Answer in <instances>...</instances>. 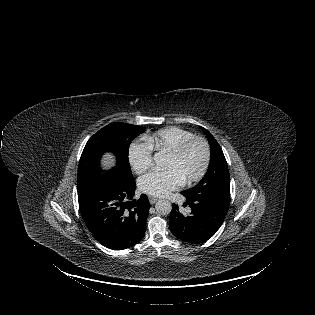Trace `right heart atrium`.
<instances>
[{
	"instance_id": "1",
	"label": "right heart atrium",
	"mask_w": 315,
	"mask_h": 315,
	"mask_svg": "<svg viewBox=\"0 0 315 315\" xmlns=\"http://www.w3.org/2000/svg\"><path fill=\"white\" fill-rule=\"evenodd\" d=\"M153 146L148 139L137 140L129 147L128 159L133 171L142 174L152 165Z\"/></svg>"
}]
</instances>
